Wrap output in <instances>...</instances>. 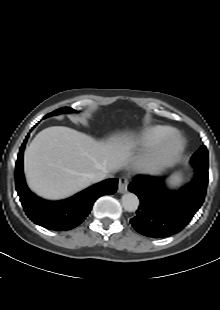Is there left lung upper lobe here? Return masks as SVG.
Wrapping results in <instances>:
<instances>
[{"mask_svg": "<svg viewBox=\"0 0 220 310\" xmlns=\"http://www.w3.org/2000/svg\"><path fill=\"white\" fill-rule=\"evenodd\" d=\"M191 163L195 168L208 170V151L205 146H201L192 156Z\"/></svg>", "mask_w": 220, "mask_h": 310, "instance_id": "1", "label": "left lung upper lobe"}]
</instances>
